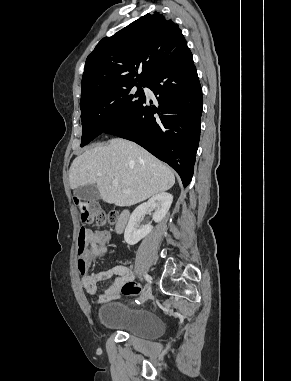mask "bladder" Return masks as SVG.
I'll return each mask as SVG.
<instances>
[{
	"label": "bladder",
	"instance_id": "31cf9c89",
	"mask_svg": "<svg viewBox=\"0 0 291 381\" xmlns=\"http://www.w3.org/2000/svg\"><path fill=\"white\" fill-rule=\"evenodd\" d=\"M99 322L107 330L124 332L151 340L164 332V322L155 312L133 309L122 302H110L99 308Z\"/></svg>",
	"mask_w": 291,
	"mask_h": 381
}]
</instances>
